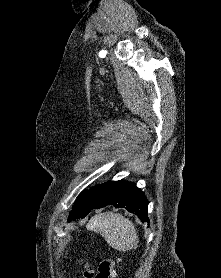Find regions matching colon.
Masks as SVG:
<instances>
[{"label":"colon","mask_w":221,"mask_h":278,"mask_svg":"<svg viewBox=\"0 0 221 278\" xmlns=\"http://www.w3.org/2000/svg\"><path fill=\"white\" fill-rule=\"evenodd\" d=\"M119 259L106 258L102 260L96 271L87 267L83 273L84 278H118Z\"/></svg>","instance_id":"colon-1"}]
</instances>
